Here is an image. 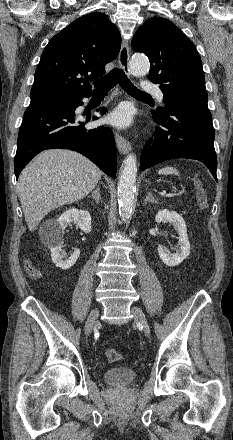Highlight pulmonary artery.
Instances as JSON below:
<instances>
[{
	"instance_id": "obj_1",
	"label": "pulmonary artery",
	"mask_w": 233,
	"mask_h": 440,
	"mask_svg": "<svg viewBox=\"0 0 233 440\" xmlns=\"http://www.w3.org/2000/svg\"><path fill=\"white\" fill-rule=\"evenodd\" d=\"M143 90L146 92L153 93L160 101H162L164 98V95H163V92L161 91V89L158 86L153 85L151 83H145L143 85Z\"/></svg>"
}]
</instances>
